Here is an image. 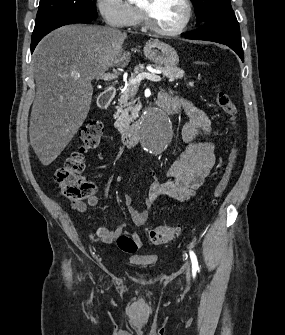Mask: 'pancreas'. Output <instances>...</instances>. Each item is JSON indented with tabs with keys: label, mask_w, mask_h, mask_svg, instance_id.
I'll return each instance as SVG.
<instances>
[{
	"label": "pancreas",
	"mask_w": 285,
	"mask_h": 335,
	"mask_svg": "<svg viewBox=\"0 0 285 335\" xmlns=\"http://www.w3.org/2000/svg\"><path fill=\"white\" fill-rule=\"evenodd\" d=\"M147 66H152L155 70L165 72L167 78H170V82L177 80V78H184L183 70H180L177 66H174V68H166V66H159V64H147ZM143 70H145V68L140 64V66H137L135 72H143ZM130 79H133V76H130ZM187 86H194V82H188ZM130 90L131 86H128L125 92H121L120 100H118L119 106H117V109L114 111L115 116L113 117L116 125H132L133 122H137L138 120V105H131L132 102H128Z\"/></svg>",
	"instance_id": "pancreas-1"
}]
</instances>
